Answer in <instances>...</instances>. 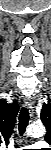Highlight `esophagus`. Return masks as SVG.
<instances>
[{"instance_id": "obj_1", "label": "esophagus", "mask_w": 51, "mask_h": 150, "mask_svg": "<svg viewBox=\"0 0 51 150\" xmlns=\"http://www.w3.org/2000/svg\"><path fill=\"white\" fill-rule=\"evenodd\" d=\"M24 104L28 108L30 114L32 115L33 114V108H34V103H33L32 99L29 97H25Z\"/></svg>"}]
</instances>
